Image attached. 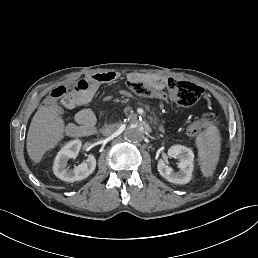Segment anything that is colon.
I'll return each instance as SVG.
<instances>
[{
  "mask_svg": "<svg viewBox=\"0 0 258 258\" xmlns=\"http://www.w3.org/2000/svg\"><path fill=\"white\" fill-rule=\"evenodd\" d=\"M77 82L71 87L74 88ZM130 89L137 95L151 98L168 97L181 106H192L199 101L203 94V89L191 82L169 78L166 81V93L158 89L155 85H148L143 81L134 80L129 83ZM69 86H59L50 93V100L46 102L47 106L53 105L54 101L64 97ZM209 119V114H205L203 118L193 121L187 129L191 136L198 135L205 127Z\"/></svg>",
  "mask_w": 258,
  "mask_h": 258,
  "instance_id": "colon-1",
  "label": "colon"
}]
</instances>
